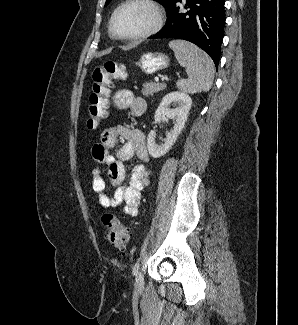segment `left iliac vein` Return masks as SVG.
<instances>
[{
    "instance_id": "obj_1",
    "label": "left iliac vein",
    "mask_w": 298,
    "mask_h": 325,
    "mask_svg": "<svg viewBox=\"0 0 298 325\" xmlns=\"http://www.w3.org/2000/svg\"><path fill=\"white\" fill-rule=\"evenodd\" d=\"M134 286L137 291H141L144 288V277L142 272L136 275Z\"/></svg>"
}]
</instances>
